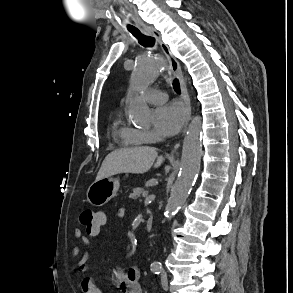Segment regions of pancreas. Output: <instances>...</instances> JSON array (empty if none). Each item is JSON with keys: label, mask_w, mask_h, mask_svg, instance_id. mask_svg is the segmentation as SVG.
<instances>
[{"label": "pancreas", "mask_w": 293, "mask_h": 293, "mask_svg": "<svg viewBox=\"0 0 293 293\" xmlns=\"http://www.w3.org/2000/svg\"><path fill=\"white\" fill-rule=\"evenodd\" d=\"M144 192H145V189L144 188L136 187V188L133 189V192L130 193L129 198L136 200V199L140 198V196Z\"/></svg>", "instance_id": "cf45deb5"}]
</instances>
